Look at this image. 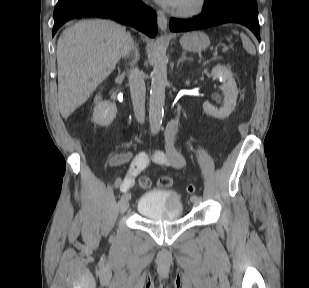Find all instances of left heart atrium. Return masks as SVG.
<instances>
[{"mask_svg":"<svg viewBox=\"0 0 309 288\" xmlns=\"http://www.w3.org/2000/svg\"><path fill=\"white\" fill-rule=\"evenodd\" d=\"M158 1L165 6L176 8L180 0H158Z\"/></svg>","mask_w":309,"mask_h":288,"instance_id":"obj_1","label":"left heart atrium"}]
</instances>
